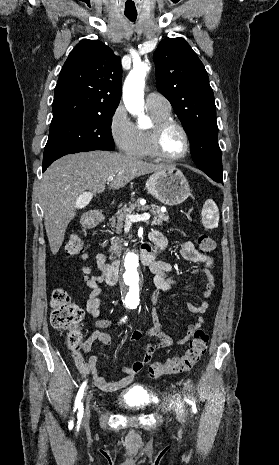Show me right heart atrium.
Instances as JSON below:
<instances>
[{"instance_id": "right-heart-atrium-1", "label": "right heart atrium", "mask_w": 279, "mask_h": 465, "mask_svg": "<svg viewBox=\"0 0 279 465\" xmlns=\"http://www.w3.org/2000/svg\"><path fill=\"white\" fill-rule=\"evenodd\" d=\"M108 128L110 137L116 147L120 151L127 153L134 140L135 125L122 104H118L112 111Z\"/></svg>"}]
</instances>
